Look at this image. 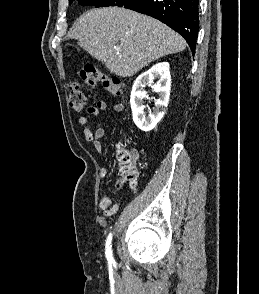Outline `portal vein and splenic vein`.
I'll return each instance as SVG.
<instances>
[{
  "label": "portal vein and splenic vein",
  "mask_w": 259,
  "mask_h": 294,
  "mask_svg": "<svg viewBox=\"0 0 259 294\" xmlns=\"http://www.w3.org/2000/svg\"><path fill=\"white\" fill-rule=\"evenodd\" d=\"M117 51H120V48H116Z\"/></svg>",
  "instance_id": "obj_1"
}]
</instances>
